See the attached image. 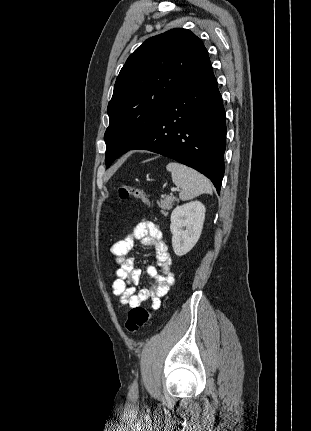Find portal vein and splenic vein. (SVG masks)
Instances as JSON below:
<instances>
[{"label": "portal vein and splenic vein", "instance_id": "portal-vein-and-splenic-vein-1", "mask_svg": "<svg viewBox=\"0 0 311 431\" xmlns=\"http://www.w3.org/2000/svg\"><path fill=\"white\" fill-rule=\"evenodd\" d=\"M171 192H178V188H171Z\"/></svg>", "mask_w": 311, "mask_h": 431}]
</instances>
